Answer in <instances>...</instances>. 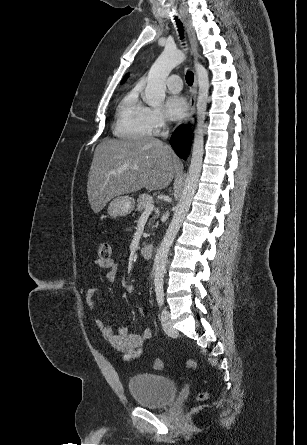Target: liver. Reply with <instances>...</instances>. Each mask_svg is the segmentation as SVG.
Returning <instances> with one entry per match:
<instances>
[{
	"instance_id": "obj_1",
	"label": "liver",
	"mask_w": 307,
	"mask_h": 445,
	"mask_svg": "<svg viewBox=\"0 0 307 445\" xmlns=\"http://www.w3.org/2000/svg\"><path fill=\"white\" fill-rule=\"evenodd\" d=\"M179 160L170 146L154 136L104 138L97 144L87 180L88 200L93 212L120 194L160 190L172 182ZM110 170H122L110 174Z\"/></svg>"
}]
</instances>
